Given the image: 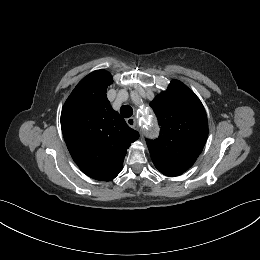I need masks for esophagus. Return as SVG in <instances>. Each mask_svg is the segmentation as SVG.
Segmentation results:
<instances>
[{"label": "esophagus", "instance_id": "1", "mask_svg": "<svg viewBox=\"0 0 260 260\" xmlns=\"http://www.w3.org/2000/svg\"><path fill=\"white\" fill-rule=\"evenodd\" d=\"M126 122L132 128H136L137 127V120L135 118H133V117L126 119Z\"/></svg>", "mask_w": 260, "mask_h": 260}]
</instances>
